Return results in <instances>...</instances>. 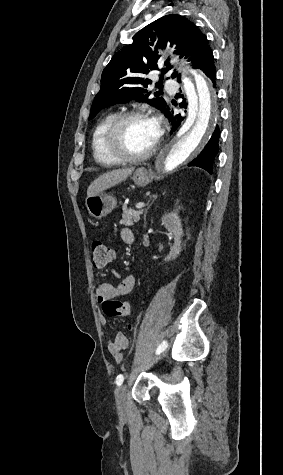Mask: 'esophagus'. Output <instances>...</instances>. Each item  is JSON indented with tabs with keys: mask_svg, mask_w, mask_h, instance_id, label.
Listing matches in <instances>:
<instances>
[{
	"mask_svg": "<svg viewBox=\"0 0 283 475\" xmlns=\"http://www.w3.org/2000/svg\"><path fill=\"white\" fill-rule=\"evenodd\" d=\"M156 161H160V157H157Z\"/></svg>",
	"mask_w": 283,
	"mask_h": 475,
	"instance_id": "1",
	"label": "esophagus"
}]
</instances>
